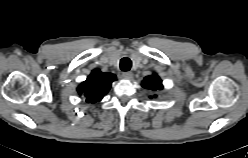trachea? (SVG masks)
Returning <instances> with one entry per match:
<instances>
[{
  "instance_id": "3493384b",
  "label": "trachea",
  "mask_w": 248,
  "mask_h": 158,
  "mask_svg": "<svg viewBox=\"0 0 248 158\" xmlns=\"http://www.w3.org/2000/svg\"><path fill=\"white\" fill-rule=\"evenodd\" d=\"M132 66V62L129 58L124 57L120 61V69L122 71H129Z\"/></svg>"
}]
</instances>
